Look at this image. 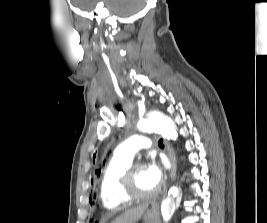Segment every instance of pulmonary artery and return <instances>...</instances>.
Listing matches in <instances>:
<instances>
[{
  "label": "pulmonary artery",
  "instance_id": "obj_1",
  "mask_svg": "<svg viewBox=\"0 0 267 223\" xmlns=\"http://www.w3.org/2000/svg\"><path fill=\"white\" fill-rule=\"evenodd\" d=\"M151 146L148 135H135L123 141L115 150L114 155L127 160H132L134 155L142 148Z\"/></svg>",
  "mask_w": 267,
  "mask_h": 223
}]
</instances>
